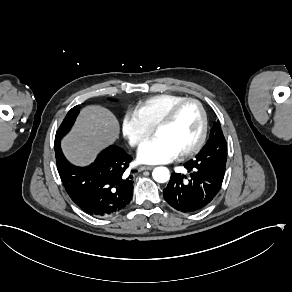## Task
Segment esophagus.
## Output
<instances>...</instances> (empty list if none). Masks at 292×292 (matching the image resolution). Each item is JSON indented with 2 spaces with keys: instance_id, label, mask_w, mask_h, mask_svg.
<instances>
[{
  "instance_id": "esophagus-1",
  "label": "esophagus",
  "mask_w": 292,
  "mask_h": 292,
  "mask_svg": "<svg viewBox=\"0 0 292 292\" xmlns=\"http://www.w3.org/2000/svg\"><path fill=\"white\" fill-rule=\"evenodd\" d=\"M154 168V166H140L138 168L139 171H143V170H152Z\"/></svg>"
}]
</instances>
